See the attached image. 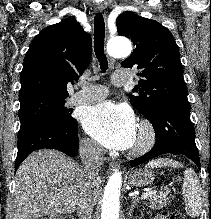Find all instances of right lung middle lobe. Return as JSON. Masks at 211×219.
Segmentation results:
<instances>
[{
    "mask_svg": "<svg viewBox=\"0 0 211 219\" xmlns=\"http://www.w3.org/2000/svg\"><path fill=\"white\" fill-rule=\"evenodd\" d=\"M71 111L65 107V98L40 97L20 102L19 119L21 127L41 120L71 124L75 121L71 116Z\"/></svg>",
    "mask_w": 211,
    "mask_h": 219,
    "instance_id": "obj_1",
    "label": "right lung middle lobe"
}]
</instances>
